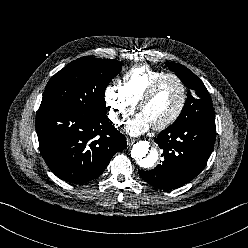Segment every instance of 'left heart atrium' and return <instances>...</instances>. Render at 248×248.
Returning <instances> with one entry per match:
<instances>
[{
  "instance_id": "left-heart-atrium-1",
  "label": "left heart atrium",
  "mask_w": 248,
  "mask_h": 248,
  "mask_svg": "<svg viewBox=\"0 0 248 248\" xmlns=\"http://www.w3.org/2000/svg\"><path fill=\"white\" fill-rule=\"evenodd\" d=\"M150 126L151 124L148 119L142 113H139L126 124L125 130L128 134L137 136L146 132Z\"/></svg>"
}]
</instances>
